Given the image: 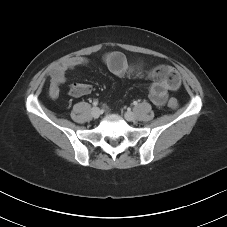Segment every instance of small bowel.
<instances>
[{
  "label": "small bowel",
  "instance_id": "c3829d8e",
  "mask_svg": "<svg viewBox=\"0 0 227 227\" xmlns=\"http://www.w3.org/2000/svg\"><path fill=\"white\" fill-rule=\"evenodd\" d=\"M104 62L108 70L118 76L123 77L129 74H138L143 70L141 62L131 63L121 52H109L104 57ZM88 60L81 56H75L66 62L56 66L50 72V95L57 97L59 87L66 81V73L76 67L87 65ZM149 77L153 80L148 88V97L154 105L162 107L167 98L169 90L175 89L177 86H170L158 79L156 68L149 71ZM92 91V86L87 83H71L68 86V93L72 97H80L87 95Z\"/></svg>",
  "mask_w": 227,
  "mask_h": 227
}]
</instances>
